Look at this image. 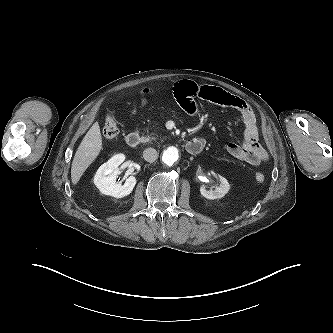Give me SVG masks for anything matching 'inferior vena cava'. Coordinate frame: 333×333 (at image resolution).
Masks as SVG:
<instances>
[{
	"label": "inferior vena cava",
	"instance_id": "inferior-vena-cava-1",
	"mask_svg": "<svg viewBox=\"0 0 333 333\" xmlns=\"http://www.w3.org/2000/svg\"><path fill=\"white\" fill-rule=\"evenodd\" d=\"M158 157V153L154 148H147L143 151V158L147 162H154Z\"/></svg>",
	"mask_w": 333,
	"mask_h": 333
}]
</instances>
